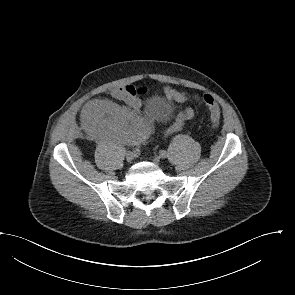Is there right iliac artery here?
<instances>
[{"instance_id": "right-iliac-artery-1", "label": "right iliac artery", "mask_w": 295, "mask_h": 295, "mask_svg": "<svg viewBox=\"0 0 295 295\" xmlns=\"http://www.w3.org/2000/svg\"><path fill=\"white\" fill-rule=\"evenodd\" d=\"M133 154L134 155H139L140 154V149L139 148H134L133 149Z\"/></svg>"}]
</instances>
